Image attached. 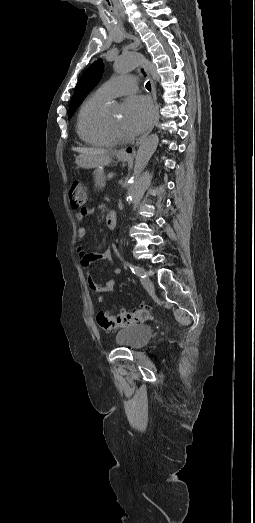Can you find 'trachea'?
Masks as SVG:
<instances>
[{
	"label": "trachea",
	"instance_id": "3493384b",
	"mask_svg": "<svg viewBox=\"0 0 255 523\" xmlns=\"http://www.w3.org/2000/svg\"><path fill=\"white\" fill-rule=\"evenodd\" d=\"M146 88H147V90L151 91V85H150V82H147V83H146Z\"/></svg>",
	"mask_w": 255,
	"mask_h": 523
}]
</instances>
